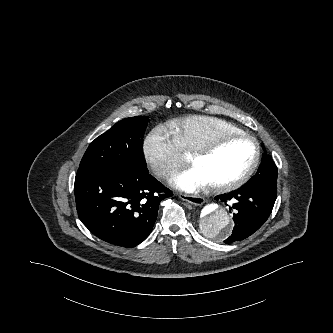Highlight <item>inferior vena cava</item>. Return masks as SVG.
<instances>
[{
  "mask_svg": "<svg viewBox=\"0 0 333 333\" xmlns=\"http://www.w3.org/2000/svg\"><path fill=\"white\" fill-rule=\"evenodd\" d=\"M170 173H171L170 170H168V169H162V170L159 172V175L162 176V177H167V176L170 175Z\"/></svg>",
  "mask_w": 333,
  "mask_h": 333,
  "instance_id": "1",
  "label": "inferior vena cava"
}]
</instances>
